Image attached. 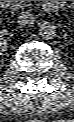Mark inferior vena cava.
Returning <instances> with one entry per match:
<instances>
[{
    "mask_svg": "<svg viewBox=\"0 0 74 122\" xmlns=\"http://www.w3.org/2000/svg\"><path fill=\"white\" fill-rule=\"evenodd\" d=\"M17 22L21 25H33L34 16L32 13L28 11L21 12L18 16Z\"/></svg>",
    "mask_w": 74,
    "mask_h": 122,
    "instance_id": "inferior-vena-cava-1",
    "label": "inferior vena cava"
}]
</instances>
